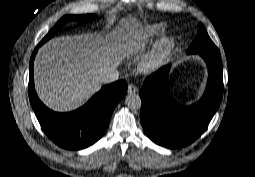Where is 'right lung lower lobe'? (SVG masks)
<instances>
[{"mask_svg": "<svg viewBox=\"0 0 255 177\" xmlns=\"http://www.w3.org/2000/svg\"><path fill=\"white\" fill-rule=\"evenodd\" d=\"M39 46L30 60L29 99L42 129L53 142L65 149H83L94 144L104 134L115 106L125 96L126 81L104 86L83 107L73 112H53L39 100L34 88L33 62Z\"/></svg>", "mask_w": 255, "mask_h": 177, "instance_id": "1", "label": "right lung lower lobe"}]
</instances>
